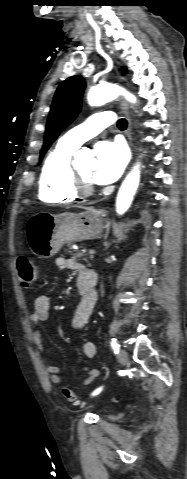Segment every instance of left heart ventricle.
Wrapping results in <instances>:
<instances>
[{
    "instance_id": "b2bd125f",
    "label": "left heart ventricle",
    "mask_w": 187,
    "mask_h": 479,
    "mask_svg": "<svg viewBox=\"0 0 187 479\" xmlns=\"http://www.w3.org/2000/svg\"><path fill=\"white\" fill-rule=\"evenodd\" d=\"M77 171L85 178L91 180L93 174V167L91 165L80 167L77 169Z\"/></svg>"
}]
</instances>
